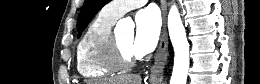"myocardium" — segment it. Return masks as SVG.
Listing matches in <instances>:
<instances>
[{
  "label": "myocardium",
  "instance_id": "obj_1",
  "mask_svg": "<svg viewBox=\"0 0 260 84\" xmlns=\"http://www.w3.org/2000/svg\"><path fill=\"white\" fill-rule=\"evenodd\" d=\"M104 58L110 67L117 70L131 68L138 61V56L122 50L115 36L111 33L104 42Z\"/></svg>",
  "mask_w": 260,
  "mask_h": 84
}]
</instances>
